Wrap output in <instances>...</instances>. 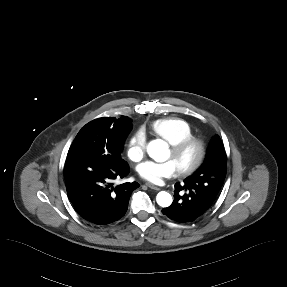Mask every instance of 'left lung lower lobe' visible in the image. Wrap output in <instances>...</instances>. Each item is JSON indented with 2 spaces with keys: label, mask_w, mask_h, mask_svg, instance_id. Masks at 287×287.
Segmentation results:
<instances>
[{
  "label": "left lung lower lobe",
  "mask_w": 287,
  "mask_h": 287,
  "mask_svg": "<svg viewBox=\"0 0 287 287\" xmlns=\"http://www.w3.org/2000/svg\"><path fill=\"white\" fill-rule=\"evenodd\" d=\"M180 191L185 193L181 196ZM174 201L167 207L163 208L162 212L168 218L178 222H191L204 214L214 200L201 194L199 191L192 189L184 184L176 183L174 191Z\"/></svg>",
  "instance_id": "0a47b994"
}]
</instances>
